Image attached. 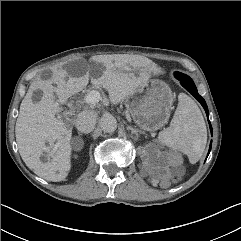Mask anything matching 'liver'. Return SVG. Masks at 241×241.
I'll use <instances>...</instances> for the list:
<instances>
[{
  "instance_id": "1",
  "label": "liver",
  "mask_w": 241,
  "mask_h": 241,
  "mask_svg": "<svg viewBox=\"0 0 241 241\" xmlns=\"http://www.w3.org/2000/svg\"><path fill=\"white\" fill-rule=\"evenodd\" d=\"M90 62L104 67L100 77H91V83L105 88L114 105L145 85L151 77V61L140 56L96 55ZM86 69L82 76L73 77L62 66L54 67L50 79L42 80L38 76L31 83L20 105L15 135L21 158L35 174L53 182L63 181L68 176L72 152V130L56 118L59 103L54 100V94L66 100L81 91L88 84L92 70L90 66ZM38 90L42 91V98L34 103L32 96ZM43 152L51 155L52 160L43 163L40 160Z\"/></svg>"
}]
</instances>
